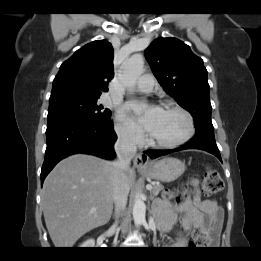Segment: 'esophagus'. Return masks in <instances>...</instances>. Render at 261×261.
<instances>
[{
  "mask_svg": "<svg viewBox=\"0 0 261 261\" xmlns=\"http://www.w3.org/2000/svg\"><path fill=\"white\" fill-rule=\"evenodd\" d=\"M134 165L138 170L146 169L150 166L149 157L147 154L139 152L134 158Z\"/></svg>",
  "mask_w": 261,
  "mask_h": 261,
  "instance_id": "obj_1",
  "label": "esophagus"
}]
</instances>
